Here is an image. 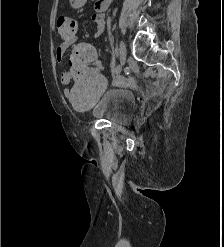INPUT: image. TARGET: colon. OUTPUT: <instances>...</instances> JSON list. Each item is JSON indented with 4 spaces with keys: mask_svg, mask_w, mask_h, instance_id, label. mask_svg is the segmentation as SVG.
Segmentation results:
<instances>
[{
    "mask_svg": "<svg viewBox=\"0 0 224 247\" xmlns=\"http://www.w3.org/2000/svg\"><path fill=\"white\" fill-rule=\"evenodd\" d=\"M78 25L75 19L61 15L57 20L58 35L66 40L77 36ZM96 50L91 44L78 45L72 54L69 77L74 82L68 99L76 108H88L96 102L106 88V80L95 65Z\"/></svg>",
    "mask_w": 224,
    "mask_h": 247,
    "instance_id": "obj_1",
    "label": "colon"
}]
</instances>
